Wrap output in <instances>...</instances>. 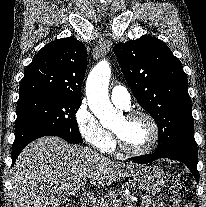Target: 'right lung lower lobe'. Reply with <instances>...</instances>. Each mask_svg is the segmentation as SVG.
I'll return each instance as SVG.
<instances>
[{"instance_id": "98d812e1", "label": "right lung lower lobe", "mask_w": 206, "mask_h": 207, "mask_svg": "<svg viewBox=\"0 0 206 207\" xmlns=\"http://www.w3.org/2000/svg\"><path fill=\"white\" fill-rule=\"evenodd\" d=\"M44 136H48V135H44ZM40 137H43V136H40ZM40 137H38V138H40ZM62 138V137H61ZM35 139H37V138H35ZM34 139V140H35ZM64 139V138H63ZM67 142H69V143H75V142H72V141H70V140H67V139H65ZM33 141V140H32ZM31 142V141H30ZM29 142V143H30ZM29 143H27V144H25V145H23V146H21L20 148H18V149H14V150H12V166L14 165V163H15V160L17 159V157H18V155H19V153L22 151V149L26 146V145H28Z\"/></svg>"}]
</instances>
